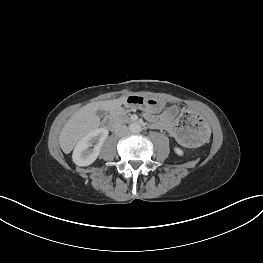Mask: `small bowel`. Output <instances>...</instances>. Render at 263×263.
<instances>
[{
    "label": "small bowel",
    "instance_id": "small-bowel-1",
    "mask_svg": "<svg viewBox=\"0 0 263 263\" xmlns=\"http://www.w3.org/2000/svg\"><path fill=\"white\" fill-rule=\"evenodd\" d=\"M160 116L161 114H155L153 112L145 113L146 120L149 121L154 128L166 131L171 137H173L177 142H179L177 139L176 132L162 124L160 121Z\"/></svg>",
    "mask_w": 263,
    "mask_h": 263
}]
</instances>
